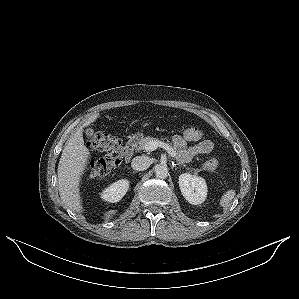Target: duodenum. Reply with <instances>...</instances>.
I'll list each match as a JSON object with an SVG mask.
<instances>
[{"mask_svg":"<svg viewBox=\"0 0 299 299\" xmlns=\"http://www.w3.org/2000/svg\"><path fill=\"white\" fill-rule=\"evenodd\" d=\"M136 143H137L136 140L131 138L125 144L124 157L127 162H129L131 160V158L133 157Z\"/></svg>","mask_w":299,"mask_h":299,"instance_id":"duodenum-1","label":"duodenum"}]
</instances>
